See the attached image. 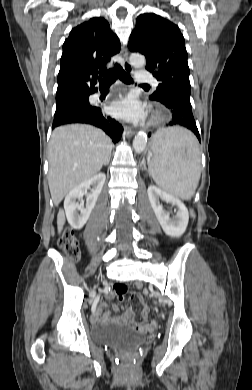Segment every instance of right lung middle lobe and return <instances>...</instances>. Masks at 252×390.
Instances as JSON below:
<instances>
[{
    "label": "right lung middle lobe",
    "instance_id": "right-lung-middle-lobe-1",
    "mask_svg": "<svg viewBox=\"0 0 252 390\" xmlns=\"http://www.w3.org/2000/svg\"><path fill=\"white\" fill-rule=\"evenodd\" d=\"M81 96H79V97H76V98H72V99H69V100H75V99H79ZM69 100H66V101H69ZM66 101H62V102H56V104L57 105H59V104H62V103H64V102H66Z\"/></svg>",
    "mask_w": 252,
    "mask_h": 390
}]
</instances>
